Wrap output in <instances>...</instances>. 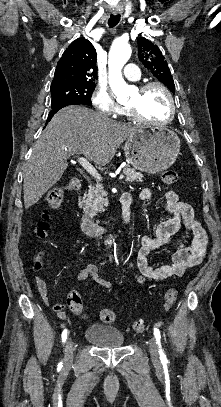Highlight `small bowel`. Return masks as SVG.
I'll return each instance as SVG.
<instances>
[{
  "mask_svg": "<svg viewBox=\"0 0 221 407\" xmlns=\"http://www.w3.org/2000/svg\"><path fill=\"white\" fill-rule=\"evenodd\" d=\"M131 197L130 191H126ZM139 198L142 201H150L153 199L149 188H142L139 191ZM161 207V216L163 221L155 228L153 233L142 237V244L137 254V271L133 272V278L138 284L159 283L181 277L188 268L198 264L206 254L207 235L203 227L195 216L193 207L183 201H180L178 195L174 191H168L164 198L159 200ZM184 227L192 235L190 245L183 244L176 238V233L181 227ZM176 243L179 248L172 256L171 264H163L152 266L148 262L150 253L166 244ZM35 269H40L36 262ZM92 277L99 285L114 289L111 282L99 277L98 269L94 265H89L77 274L79 280H84ZM36 286L38 292L46 305H50L48 296V288L44 278L36 275ZM75 295L69 293L67 302L73 299ZM52 309L59 316L63 317V304L56 303L52 305Z\"/></svg>",
  "mask_w": 221,
  "mask_h": 407,
  "instance_id": "obj_1",
  "label": "small bowel"
}]
</instances>
